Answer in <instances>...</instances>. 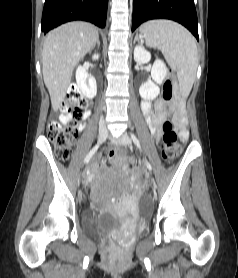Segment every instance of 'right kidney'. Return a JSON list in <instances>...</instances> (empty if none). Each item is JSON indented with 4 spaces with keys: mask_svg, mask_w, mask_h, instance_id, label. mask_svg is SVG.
<instances>
[{
    "mask_svg": "<svg viewBox=\"0 0 238 278\" xmlns=\"http://www.w3.org/2000/svg\"><path fill=\"white\" fill-rule=\"evenodd\" d=\"M99 55L95 54L92 59L97 60ZM76 83L81 90V92L89 99H92L96 96L97 93V84L93 76L89 75L86 69L82 66H79L76 69Z\"/></svg>",
    "mask_w": 238,
    "mask_h": 278,
    "instance_id": "obj_1",
    "label": "right kidney"
}]
</instances>
